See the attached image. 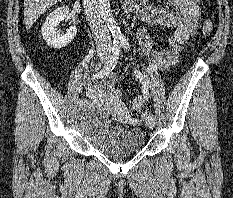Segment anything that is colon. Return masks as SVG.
Instances as JSON below:
<instances>
[{
    "instance_id": "1",
    "label": "colon",
    "mask_w": 233,
    "mask_h": 198,
    "mask_svg": "<svg viewBox=\"0 0 233 198\" xmlns=\"http://www.w3.org/2000/svg\"><path fill=\"white\" fill-rule=\"evenodd\" d=\"M213 31V23L211 20H206L202 26V32L205 36H209ZM144 106V100L142 97H137L130 103V110L133 114H139Z\"/></svg>"
}]
</instances>
